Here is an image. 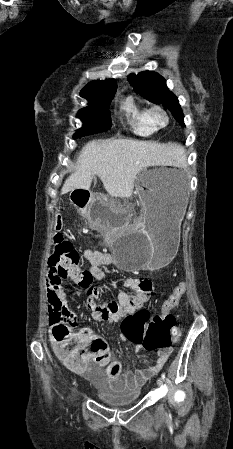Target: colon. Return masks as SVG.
<instances>
[{
    "instance_id": "5ec220e1",
    "label": "colon",
    "mask_w": 233,
    "mask_h": 449,
    "mask_svg": "<svg viewBox=\"0 0 233 449\" xmlns=\"http://www.w3.org/2000/svg\"><path fill=\"white\" fill-rule=\"evenodd\" d=\"M62 222L59 218L55 222L54 245L49 261L52 265H57L64 273L68 268H82L80 256L73 245L66 241L60 233ZM82 284L87 285L88 279H83ZM186 293V283L183 280L173 285V291L161 305V312L152 315L151 310H139L138 314H133L131 318L125 319L121 323L120 337L127 338L128 343H139L141 349L146 351H169L174 342L180 339L181 332L176 326V318L171 311L176 308L183 295ZM92 294V291H91ZM93 298V297H91ZM148 319L147 328L142 325ZM51 336L59 345L56 353L61 360L73 369H82L85 362L76 353L74 344L71 341L72 330L77 325L76 316L70 312L55 309L50 315ZM84 342L89 345L92 353L98 361H103L108 357V345L103 339H93L88 332L83 331Z\"/></svg>"
}]
</instances>
